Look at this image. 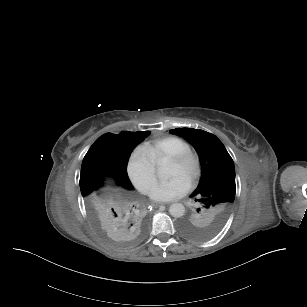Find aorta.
<instances>
[{
  "instance_id": "1",
  "label": "aorta",
  "mask_w": 307,
  "mask_h": 307,
  "mask_svg": "<svg viewBox=\"0 0 307 307\" xmlns=\"http://www.w3.org/2000/svg\"><path fill=\"white\" fill-rule=\"evenodd\" d=\"M173 169L168 163L160 162L157 168V175L162 180H168L172 176ZM169 213L175 218L182 217L185 213V208L181 203H173L169 207Z\"/></svg>"
}]
</instances>
